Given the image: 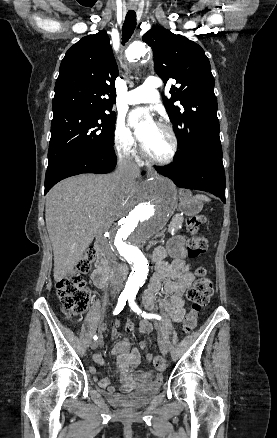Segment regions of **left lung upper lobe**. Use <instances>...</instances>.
<instances>
[{"instance_id": "5c2ea615", "label": "left lung upper lobe", "mask_w": 277, "mask_h": 438, "mask_svg": "<svg viewBox=\"0 0 277 438\" xmlns=\"http://www.w3.org/2000/svg\"><path fill=\"white\" fill-rule=\"evenodd\" d=\"M142 39L153 49L158 76L165 83L172 78L178 84L171 87V97L163 100L178 135V159L191 157L212 139L220 141L214 77L204 50L163 27L152 28Z\"/></svg>"}]
</instances>
